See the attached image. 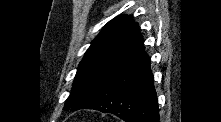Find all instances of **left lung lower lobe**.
<instances>
[{"instance_id":"0a47b994","label":"left lung lower lobe","mask_w":221,"mask_h":122,"mask_svg":"<svg viewBox=\"0 0 221 122\" xmlns=\"http://www.w3.org/2000/svg\"><path fill=\"white\" fill-rule=\"evenodd\" d=\"M79 109L112 113L127 122H159L150 58L137 24L115 67Z\"/></svg>"}]
</instances>
